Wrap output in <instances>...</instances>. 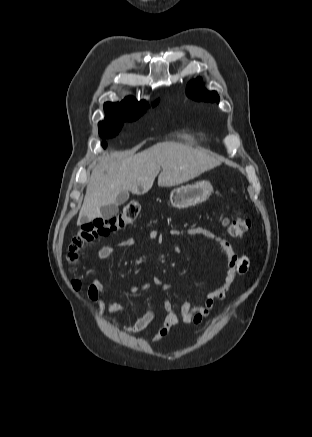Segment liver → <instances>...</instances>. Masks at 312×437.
Returning <instances> with one entry per match:
<instances>
[{"mask_svg":"<svg viewBox=\"0 0 312 437\" xmlns=\"http://www.w3.org/2000/svg\"><path fill=\"white\" fill-rule=\"evenodd\" d=\"M221 164L206 150L177 142H161L130 157L117 160L101 156L92 170L79 212L78 225L101 216V207L116 202L124 191L148 192L158 176V186L171 187L187 182Z\"/></svg>","mask_w":312,"mask_h":437,"instance_id":"obj_1","label":"liver"}]
</instances>
